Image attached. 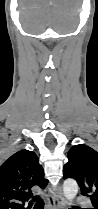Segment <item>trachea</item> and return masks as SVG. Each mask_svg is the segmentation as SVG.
<instances>
[{"label": "trachea", "mask_w": 98, "mask_h": 209, "mask_svg": "<svg viewBox=\"0 0 98 209\" xmlns=\"http://www.w3.org/2000/svg\"><path fill=\"white\" fill-rule=\"evenodd\" d=\"M34 201L36 202L34 209H43L44 208V201L39 196H36L34 198Z\"/></svg>", "instance_id": "3493384b"}]
</instances>
